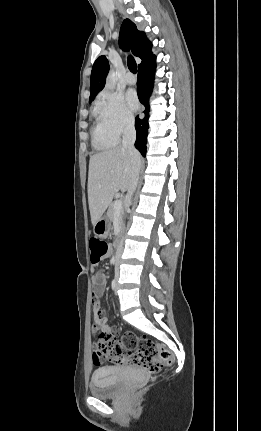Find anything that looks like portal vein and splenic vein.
Instances as JSON below:
<instances>
[{"instance_id":"1","label":"portal vein and splenic vein","mask_w":261,"mask_h":431,"mask_svg":"<svg viewBox=\"0 0 261 431\" xmlns=\"http://www.w3.org/2000/svg\"><path fill=\"white\" fill-rule=\"evenodd\" d=\"M122 208V201L121 200H117L114 204V209L116 212H118L120 209Z\"/></svg>"}]
</instances>
